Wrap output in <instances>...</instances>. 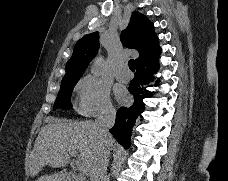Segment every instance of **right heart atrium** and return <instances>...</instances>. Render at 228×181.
I'll list each match as a JSON object with an SVG mask.
<instances>
[{"instance_id": "1", "label": "right heart atrium", "mask_w": 228, "mask_h": 181, "mask_svg": "<svg viewBox=\"0 0 228 181\" xmlns=\"http://www.w3.org/2000/svg\"><path fill=\"white\" fill-rule=\"evenodd\" d=\"M113 111L108 85L95 75L85 78L81 85L80 112L96 117Z\"/></svg>"}]
</instances>
